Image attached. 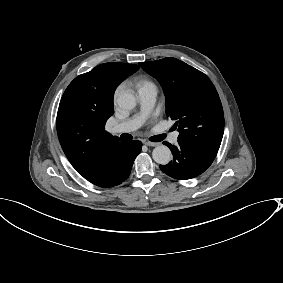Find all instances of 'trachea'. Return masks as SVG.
Masks as SVG:
<instances>
[{
	"mask_svg": "<svg viewBox=\"0 0 283 283\" xmlns=\"http://www.w3.org/2000/svg\"><path fill=\"white\" fill-rule=\"evenodd\" d=\"M166 135L165 134H161V135H157V136H153V137H150V141L152 142H160L162 141L163 139H165ZM128 139H131V138H128Z\"/></svg>",
	"mask_w": 283,
	"mask_h": 283,
	"instance_id": "trachea-1",
	"label": "trachea"
}]
</instances>
